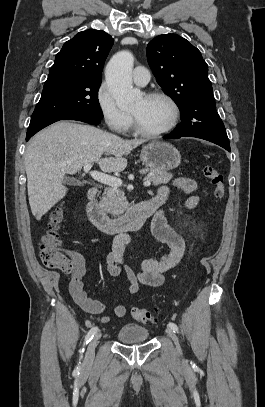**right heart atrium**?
Here are the masks:
<instances>
[{"instance_id":"right-heart-atrium-1","label":"right heart atrium","mask_w":265,"mask_h":407,"mask_svg":"<svg viewBox=\"0 0 265 407\" xmlns=\"http://www.w3.org/2000/svg\"><path fill=\"white\" fill-rule=\"evenodd\" d=\"M96 103L109 128L118 133H124L129 129L132 123L131 116L118 107L106 83H101L97 88Z\"/></svg>"}]
</instances>
